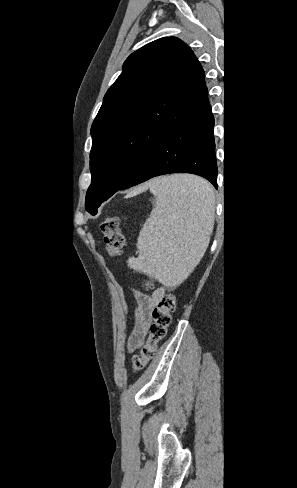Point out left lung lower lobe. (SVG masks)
<instances>
[{
  "label": "left lung lower lobe",
  "instance_id": "1",
  "mask_svg": "<svg viewBox=\"0 0 297 488\" xmlns=\"http://www.w3.org/2000/svg\"><path fill=\"white\" fill-rule=\"evenodd\" d=\"M213 126L208 104L158 145L119 190L168 173L196 174L217 188Z\"/></svg>",
  "mask_w": 297,
  "mask_h": 488
}]
</instances>
